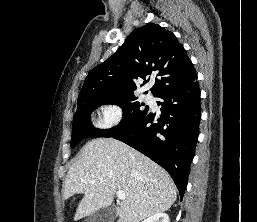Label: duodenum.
<instances>
[{
	"label": "duodenum",
	"instance_id": "obj_1",
	"mask_svg": "<svg viewBox=\"0 0 257 222\" xmlns=\"http://www.w3.org/2000/svg\"><path fill=\"white\" fill-rule=\"evenodd\" d=\"M117 222H125L124 220H122V219H120V220H118Z\"/></svg>",
	"mask_w": 257,
	"mask_h": 222
}]
</instances>
